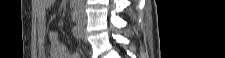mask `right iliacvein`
Segmentation results:
<instances>
[{
    "label": "right iliac vein",
    "instance_id": "right-iliac-vein-1",
    "mask_svg": "<svg viewBox=\"0 0 225 58\" xmlns=\"http://www.w3.org/2000/svg\"><path fill=\"white\" fill-rule=\"evenodd\" d=\"M76 22L80 30L81 36L85 37V22L83 20H77Z\"/></svg>",
    "mask_w": 225,
    "mask_h": 58
}]
</instances>
